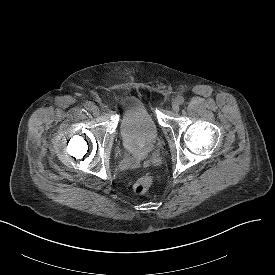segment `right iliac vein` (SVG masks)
Returning <instances> with one entry per match:
<instances>
[{"instance_id":"63e3f726","label":"right iliac vein","mask_w":275,"mask_h":275,"mask_svg":"<svg viewBox=\"0 0 275 275\" xmlns=\"http://www.w3.org/2000/svg\"><path fill=\"white\" fill-rule=\"evenodd\" d=\"M91 111H92V113L94 115H98L99 114V108L97 106H95V105L92 106V110Z\"/></svg>"}]
</instances>
